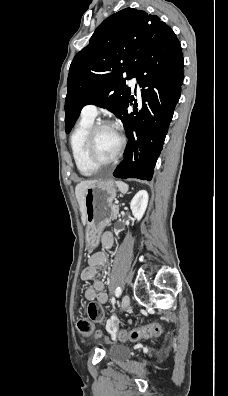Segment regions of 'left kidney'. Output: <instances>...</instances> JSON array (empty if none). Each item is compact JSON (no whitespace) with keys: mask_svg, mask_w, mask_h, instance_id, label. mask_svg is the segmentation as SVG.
Returning a JSON list of instances; mask_svg holds the SVG:
<instances>
[{"mask_svg":"<svg viewBox=\"0 0 228 396\" xmlns=\"http://www.w3.org/2000/svg\"><path fill=\"white\" fill-rule=\"evenodd\" d=\"M148 193L146 190H140L132 199L130 208L133 216L137 221L143 217L148 204Z\"/></svg>","mask_w":228,"mask_h":396,"instance_id":"left-kidney-1","label":"left kidney"}]
</instances>
